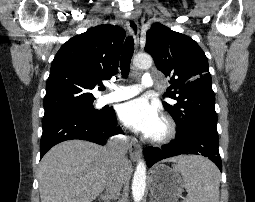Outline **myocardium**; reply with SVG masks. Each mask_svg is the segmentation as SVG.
Returning <instances> with one entry per match:
<instances>
[{
  "mask_svg": "<svg viewBox=\"0 0 255 202\" xmlns=\"http://www.w3.org/2000/svg\"><path fill=\"white\" fill-rule=\"evenodd\" d=\"M163 125V132L159 135H151L149 140L154 144H166L172 141L177 133V127L174 120L169 116H163L161 118Z\"/></svg>",
  "mask_w": 255,
  "mask_h": 202,
  "instance_id": "myocardium-1",
  "label": "myocardium"
}]
</instances>
